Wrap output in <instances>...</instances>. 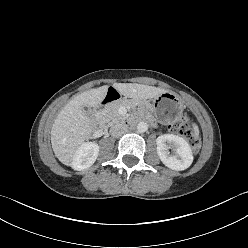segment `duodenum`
Masks as SVG:
<instances>
[{
	"instance_id": "410a0bca",
	"label": "duodenum",
	"mask_w": 248,
	"mask_h": 248,
	"mask_svg": "<svg viewBox=\"0 0 248 248\" xmlns=\"http://www.w3.org/2000/svg\"><path fill=\"white\" fill-rule=\"evenodd\" d=\"M119 99H120L119 92L114 88H110L106 93L105 97L103 98L100 108L96 111L93 117V124L98 130H102L104 125L102 110L106 106L118 101Z\"/></svg>"
}]
</instances>
